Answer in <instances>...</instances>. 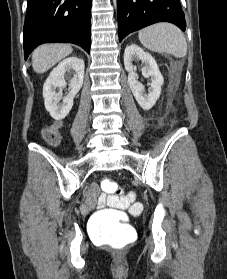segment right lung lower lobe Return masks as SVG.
I'll return each mask as SVG.
<instances>
[{"mask_svg":"<svg viewBox=\"0 0 227 279\" xmlns=\"http://www.w3.org/2000/svg\"><path fill=\"white\" fill-rule=\"evenodd\" d=\"M92 0H27L24 56L43 43H74L90 53Z\"/></svg>","mask_w":227,"mask_h":279,"instance_id":"obj_1","label":"right lung lower lobe"}]
</instances>
